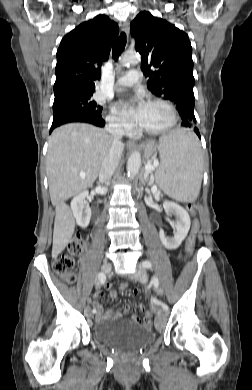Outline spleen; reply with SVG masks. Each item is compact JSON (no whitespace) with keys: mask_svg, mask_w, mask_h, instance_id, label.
Listing matches in <instances>:
<instances>
[{"mask_svg":"<svg viewBox=\"0 0 252 390\" xmlns=\"http://www.w3.org/2000/svg\"><path fill=\"white\" fill-rule=\"evenodd\" d=\"M159 141L162 163L155 174L156 183L176 201H195L203 172L202 150L197 137L186 129H177Z\"/></svg>","mask_w":252,"mask_h":390,"instance_id":"obj_1","label":"spleen"}]
</instances>
